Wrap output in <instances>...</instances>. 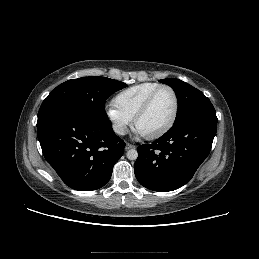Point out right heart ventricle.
I'll return each mask as SVG.
<instances>
[{
    "instance_id": "e07e8e85",
    "label": "right heart ventricle",
    "mask_w": 259,
    "mask_h": 259,
    "mask_svg": "<svg viewBox=\"0 0 259 259\" xmlns=\"http://www.w3.org/2000/svg\"><path fill=\"white\" fill-rule=\"evenodd\" d=\"M161 84L144 82L120 91L114 98V105L128 118L133 120L135 114L148 95Z\"/></svg>"
}]
</instances>
